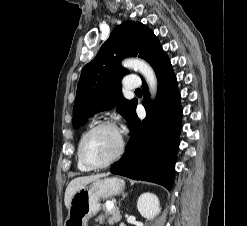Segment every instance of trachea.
Returning a JSON list of instances; mask_svg holds the SVG:
<instances>
[{
    "mask_svg": "<svg viewBox=\"0 0 247 226\" xmlns=\"http://www.w3.org/2000/svg\"><path fill=\"white\" fill-rule=\"evenodd\" d=\"M135 92H141V89H136Z\"/></svg>",
    "mask_w": 247,
    "mask_h": 226,
    "instance_id": "3493384b",
    "label": "trachea"
}]
</instances>
